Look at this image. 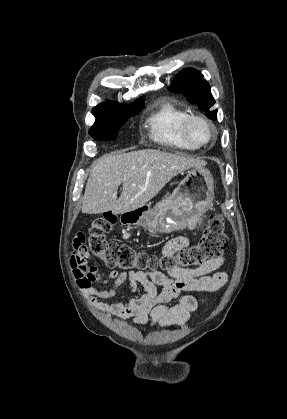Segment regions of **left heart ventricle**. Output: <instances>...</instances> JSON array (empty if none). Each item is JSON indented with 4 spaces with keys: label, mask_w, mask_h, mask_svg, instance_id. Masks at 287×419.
<instances>
[{
    "label": "left heart ventricle",
    "mask_w": 287,
    "mask_h": 419,
    "mask_svg": "<svg viewBox=\"0 0 287 419\" xmlns=\"http://www.w3.org/2000/svg\"><path fill=\"white\" fill-rule=\"evenodd\" d=\"M190 137L196 142L207 140L209 132L206 127L199 122H192L189 126Z\"/></svg>",
    "instance_id": "obj_1"
}]
</instances>
